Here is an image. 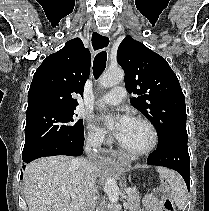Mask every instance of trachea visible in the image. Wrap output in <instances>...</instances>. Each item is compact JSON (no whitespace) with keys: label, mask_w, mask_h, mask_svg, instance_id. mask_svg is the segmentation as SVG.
Masks as SVG:
<instances>
[{"label":"trachea","mask_w":209,"mask_h":211,"mask_svg":"<svg viewBox=\"0 0 209 211\" xmlns=\"http://www.w3.org/2000/svg\"><path fill=\"white\" fill-rule=\"evenodd\" d=\"M107 53L106 51L99 52L93 62V75L98 78L106 68Z\"/></svg>","instance_id":"1"}]
</instances>
